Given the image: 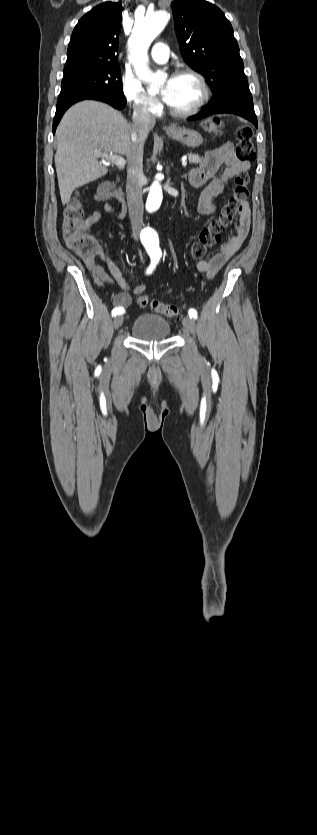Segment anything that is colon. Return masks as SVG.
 Here are the masks:
<instances>
[{"mask_svg":"<svg viewBox=\"0 0 317 835\" xmlns=\"http://www.w3.org/2000/svg\"><path fill=\"white\" fill-rule=\"evenodd\" d=\"M205 132L212 136H219L222 133L223 123L217 118H211L204 122ZM236 156L250 162L255 159V147L252 141V130L247 126L236 130ZM249 176L246 172L236 175L232 193L222 207L217 217L201 230L199 239L190 248V256L194 260L203 258L208 250L217 244L221 239L222 232L233 222L236 215L243 209L249 197ZM63 233L69 247L82 258H90L97 251L98 247L94 238L89 233V226L83 220V208L81 198L73 194L64 204L62 210ZM137 303L141 307L149 305L151 309L160 315L173 318L181 314V309L158 299H149L145 294L138 297Z\"/></svg>","mask_w":317,"mask_h":835,"instance_id":"obj_1","label":"colon"}]
</instances>
